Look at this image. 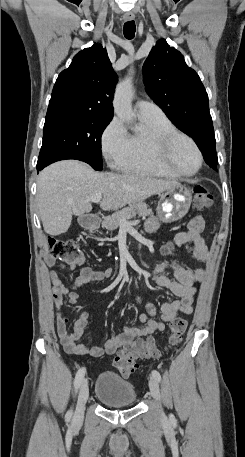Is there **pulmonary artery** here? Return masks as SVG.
Returning <instances> with one entry per match:
<instances>
[{"mask_svg":"<svg viewBox=\"0 0 245 457\" xmlns=\"http://www.w3.org/2000/svg\"><path fill=\"white\" fill-rule=\"evenodd\" d=\"M134 107L140 117H154L163 115V111L158 105L145 100H137Z\"/></svg>","mask_w":245,"mask_h":457,"instance_id":"1","label":"pulmonary artery"}]
</instances>
